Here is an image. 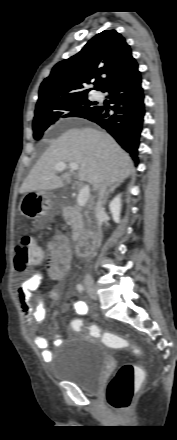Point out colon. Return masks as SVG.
Here are the masks:
<instances>
[{
	"label": "colon",
	"mask_w": 177,
	"mask_h": 440,
	"mask_svg": "<svg viewBox=\"0 0 177 440\" xmlns=\"http://www.w3.org/2000/svg\"><path fill=\"white\" fill-rule=\"evenodd\" d=\"M45 258L43 250L34 242L29 235L19 238L15 245V269L23 272L32 266L40 264ZM72 328L80 331L85 327L82 320L74 319ZM91 336L101 339L107 346L113 348H133L131 342L118 334L102 331L95 325L87 327ZM142 374L136 365L123 364L119 367L106 389L108 404L118 410L130 406L133 395L140 385Z\"/></svg>",
	"instance_id": "colon-1"
}]
</instances>
